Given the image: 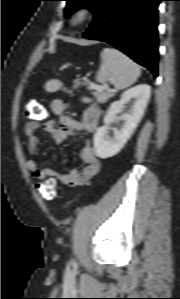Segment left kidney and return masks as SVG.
<instances>
[{
	"instance_id": "left-kidney-1",
	"label": "left kidney",
	"mask_w": 180,
	"mask_h": 299,
	"mask_svg": "<svg viewBox=\"0 0 180 299\" xmlns=\"http://www.w3.org/2000/svg\"><path fill=\"white\" fill-rule=\"evenodd\" d=\"M149 98L150 86L142 84L128 89L122 94L119 101L110 105L104 117V126L99 127L94 135V149L99 158L112 157L123 148L143 117ZM129 102H131V107L120 117V120L124 121L123 125L120 129H114L113 137L107 136L109 125L117 119L116 115Z\"/></svg>"
}]
</instances>
